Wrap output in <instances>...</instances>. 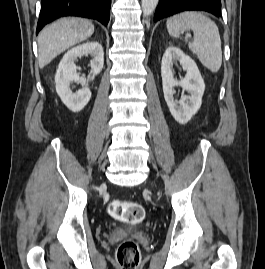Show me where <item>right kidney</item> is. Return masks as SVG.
Instances as JSON below:
<instances>
[{"mask_svg":"<svg viewBox=\"0 0 265 269\" xmlns=\"http://www.w3.org/2000/svg\"><path fill=\"white\" fill-rule=\"evenodd\" d=\"M90 55L92 76L86 78L80 77L77 73L75 61L78 57ZM104 65V52L100 43L92 41L78 45L70 49L61 59L56 75V91L62 102L73 112L81 111L91 98V91L88 88V82L94 80V77L101 72ZM79 83L82 89L73 93L70 84Z\"/></svg>","mask_w":265,"mask_h":269,"instance_id":"obj_1","label":"right kidney"}]
</instances>
